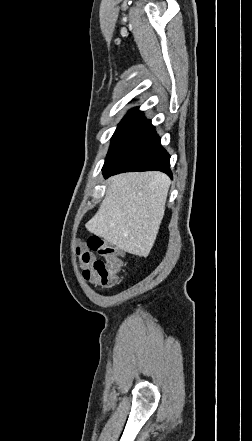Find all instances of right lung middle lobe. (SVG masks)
<instances>
[{"instance_id": "1", "label": "right lung middle lobe", "mask_w": 252, "mask_h": 441, "mask_svg": "<svg viewBox=\"0 0 252 441\" xmlns=\"http://www.w3.org/2000/svg\"><path fill=\"white\" fill-rule=\"evenodd\" d=\"M142 114L143 112L139 111L138 108H134L130 110L128 114L122 119L112 137L111 145L105 163L109 162L122 147L126 139L129 137V135L141 119Z\"/></svg>"}]
</instances>
